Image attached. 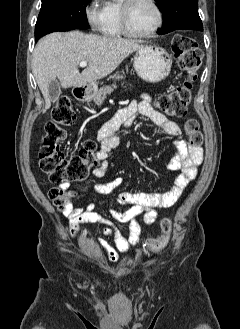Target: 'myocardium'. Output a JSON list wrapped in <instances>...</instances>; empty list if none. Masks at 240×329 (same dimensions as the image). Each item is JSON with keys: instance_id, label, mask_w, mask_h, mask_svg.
Instances as JSON below:
<instances>
[{"instance_id": "obj_1", "label": "myocardium", "mask_w": 240, "mask_h": 329, "mask_svg": "<svg viewBox=\"0 0 240 329\" xmlns=\"http://www.w3.org/2000/svg\"><path fill=\"white\" fill-rule=\"evenodd\" d=\"M137 1L138 0H123V2H122L121 13H120L122 32L127 37H131V38L152 37L154 34H156L158 32V30L163 25V21H164L163 11L156 0H148V2L154 7V9L157 13V22H156L155 26L148 32H145V33L135 32L130 27V16H131V10Z\"/></svg>"}]
</instances>
